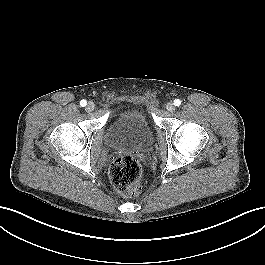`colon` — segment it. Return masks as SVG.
<instances>
[{"label":"colon","mask_w":265,"mask_h":265,"mask_svg":"<svg viewBox=\"0 0 265 265\" xmlns=\"http://www.w3.org/2000/svg\"><path fill=\"white\" fill-rule=\"evenodd\" d=\"M141 176V165L129 155L115 158L109 168V177L113 187L125 197H134L140 192Z\"/></svg>","instance_id":"colon-1"}]
</instances>
